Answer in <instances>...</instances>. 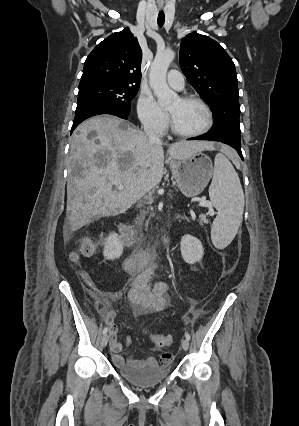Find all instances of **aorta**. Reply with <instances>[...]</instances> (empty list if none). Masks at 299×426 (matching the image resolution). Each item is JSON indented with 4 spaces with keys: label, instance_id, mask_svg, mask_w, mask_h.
Wrapping results in <instances>:
<instances>
[{
    "label": "aorta",
    "instance_id": "762f6f07",
    "mask_svg": "<svg viewBox=\"0 0 299 426\" xmlns=\"http://www.w3.org/2000/svg\"><path fill=\"white\" fill-rule=\"evenodd\" d=\"M174 57L175 53L172 50L157 53L150 67V87L159 105L163 107L177 98V94L168 87L166 82L167 70Z\"/></svg>",
    "mask_w": 299,
    "mask_h": 426
}]
</instances>
